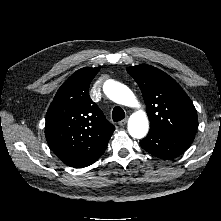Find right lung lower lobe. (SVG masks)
I'll return each instance as SVG.
<instances>
[{
    "mask_svg": "<svg viewBox=\"0 0 221 221\" xmlns=\"http://www.w3.org/2000/svg\"><path fill=\"white\" fill-rule=\"evenodd\" d=\"M98 159V158H97ZM96 159V160H97ZM96 160H94V161H92V162H90L89 164H87L86 166H88V165H91L92 163H94ZM86 166H84V167H86Z\"/></svg>",
    "mask_w": 221,
    "mask_h": 221,
    "instance_id": "right-lung-lower-lobe-1",
    "label": "right lung lower lobe"
}]
</instances>
